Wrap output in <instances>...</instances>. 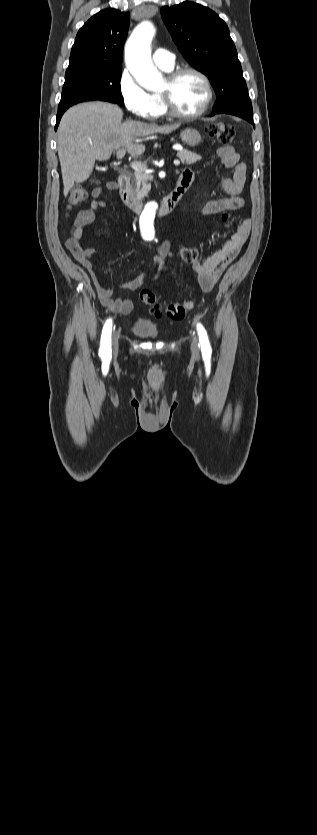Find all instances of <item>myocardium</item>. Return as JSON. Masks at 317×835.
I'll use <instances>...</instances> for the list:
<instances>
[{
	"label": "myocardium",
	"mask_w": 317,
	"mask_h": 835,
	"mask_svg": "<svg viewBox=\"0 0 317 835\" xmlns=\"http://www.w3.org/2000/svg\"><path fill=\"white\" fill-rule=\"evenodd\" d=\"M185 74H194V75L198 76L202 80V82L204 84V87H205V90H206V97H205L201 107L193 113L181 112L176 107V105L173 101L172 93H171V87L176 83V81L181 76H183ZM167 80H168L170 88L166 91H162L160 93V95H161V97L164 101V104L166 106V109H167L168 113L171 116H173L175 118H179V119H194V118L200 117L201 115H203L207 111V109L209 108V106L212 102L214 92H213V87H212L211 81H210L209 77L204 72H202L201 70H199L197 68L190 67V66L181 67V68H178V69H175V70L169 72V74L167 76Z\"/></svg>",
	"instance_id": "1"
}]
</instances>
